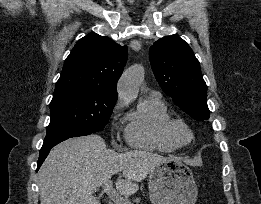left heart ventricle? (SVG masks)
I'll use <instances>...</instances> for the list:
<instances>
[{"mask_svg": "<svg viewBox=\"0 0 261 204\" xmlns=\"http://www.w3.org/2000/svg\"><path fill=\"white\" fill-rule=\"evenodd\" d=\"M182 137H183V138H186V134H185V133H182Z\"/></svg>", "mask_w": 261, "mask_h": 204, "instance_id": "b2bd125f", "label": "left heart ventricle"}]
</instances>
